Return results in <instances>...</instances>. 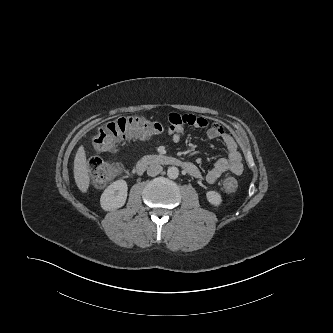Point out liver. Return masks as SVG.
<instances>
[{"label":"liver","instance_id":"liver-1","mask_svg":"<svg viewBox=\"0 0 333 333\" xmlns=\"http://www.w3.org/2000/svg\"><path fill=\"white\" fill-rule=\"evenodd\" d=\"M73 171L77 187L82 193H86L89 188L90 177L88 173L89 169L86 159V152L83 145L78 148L75 155Z\"/></svg>","mask_w":333,"mask_h":333}]
</instances>
